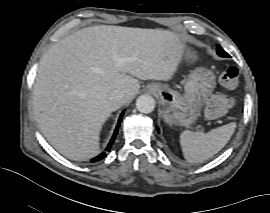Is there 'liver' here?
Listing matches in <instances>:
<instances>
[{
    "label": "liver",
    "instance_id": "1",
    "mask_svg": "<svg viewBox=\"0 0 270 213\" xmlns=\"http://www.w3.org/2000/svg\"><path fill=\"white\" fill-rule=\"evenodd\" d=\"M185 52L167 30L99 25L60 40L43 55L34 84L33 109L48 142L63 156L88 160L99 153L103 124L130 101L141 80H170ZM125 102V103H126Z\"/></svg>",
    "mask_w": 270,
    "mask_h": 213
}]
</instances>
